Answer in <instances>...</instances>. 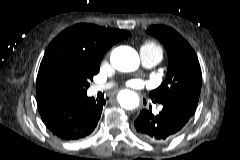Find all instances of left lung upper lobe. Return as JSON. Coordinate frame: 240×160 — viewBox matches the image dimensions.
Instances as JSON below:
<instances>
[{
  "instance_id": "left-lung-upper-lobe-1",
  "label": "left lung upper lobe",
  "mask_w": 240,
  "mask_h": 160,
  "mask_svg": "<svg viewBox=\"0 0 240 160\" xmlns=\"http://www.w3.org/2000/svg\"><path fill=\"white\" fill-rule=\"evenodd\" d=\"M147 33L164 44L169 62L166 80L150 92V97L159 103L173 102L195 111L202 73L193 48L179 33L167 26H150Z\"/></svg>"
}]
</instances>
